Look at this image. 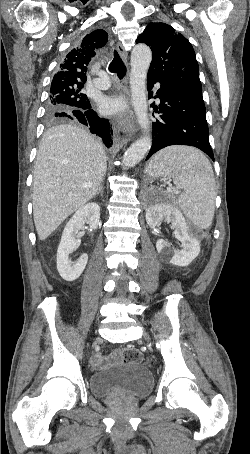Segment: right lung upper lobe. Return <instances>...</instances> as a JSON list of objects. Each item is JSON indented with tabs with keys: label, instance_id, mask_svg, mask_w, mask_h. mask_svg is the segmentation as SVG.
<instances>
[{
	"label": "right lung upper lobe",
	"instance_id": "1",
	"mask_svg": "<svg viewBox=\"0 0 250 454\" xmlns=\"http://www.w3.org/2000/svg\"><path fill=\"white\" fill-rule=\"evenodd\" d=\"M108 39L104 30H95L69 51L54 75L51 85H78L86 82V70L95 56V50L103 47Z\"/></svg>",
	"mask_w": 250,
	"mask_h": 454
}]
</instances>
